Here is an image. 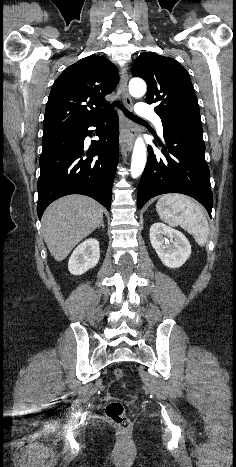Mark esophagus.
Listing matches in <instances>:
<instances>
[{"mask_svg": "<svg viewBox=\"0 0 236 467\" xmlns=\"http://www.w3.org/2000/svg\"><path fill=\"white\" fill-rule=\"evenodd\" d=\"M127 83H128V73H127L126 68H124L121 74V77H120V91H121L125 106L129 110H131L133 106V102L128 93ZM135 130L136 129L133 123L127 118H123V125H122L121 133H120V147L123 151H131L133 147V142H134Z\"/></svg>", "mask_w": 236, "mask_h": 467, "instance_id": "esophagus-1", "label": "esophagus"}]
</instances>
